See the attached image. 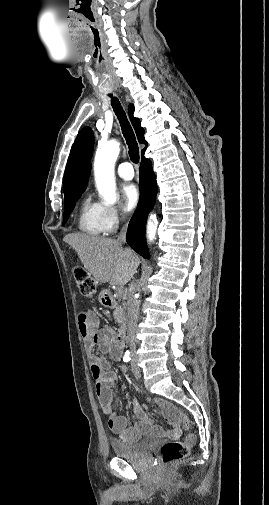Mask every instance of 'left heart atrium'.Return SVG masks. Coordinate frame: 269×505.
Masks as SVG:
<instances>
[{
  "instance_id": "1",
  "label": "left heart atrium",
  "mask_w": 269,
  "mask_h": 505,
  "mask_svg": "<svg viewBox=\"0 0 269 505\" xmlns=\"http://www.w3.org/2000/svg\"><path fill=\"white\" fill-rule=\"evenodd\" d=\"M139 198L140 193L136 185L126 184L122 188V199L125 210L127 211L133 210L137 206Z\"/></svg>"
}]
</instances>
